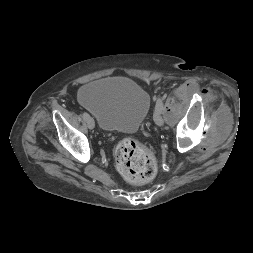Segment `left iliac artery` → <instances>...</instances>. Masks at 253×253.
<instances>
[{
  "label": "left iliac artery",
  "mask_w": 253,
  "mask_h": 253,
  "mask_svg": "<svg viewBox=\"0 0 253 253\" xmlns=\"http://www.w3.org/2000/svg\"><path fill=\"white\" fill-rule=\"evenodd\" d=\"M159 107L163 109V101L160 98L157 99L155 110H157Z\"/></svg>",
  "instance_id": "left-iliac-artery-1"
}]
</instances>
